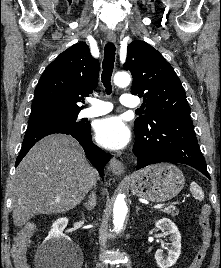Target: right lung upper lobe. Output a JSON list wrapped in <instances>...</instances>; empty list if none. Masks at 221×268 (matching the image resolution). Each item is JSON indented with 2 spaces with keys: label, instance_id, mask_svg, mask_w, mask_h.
<instances>
[{
  "label": "right lung upper lobe",
  "instance_id": "1",
  "mask_svg": "<svg viewBox=\"0 0 221 268\" xmlns=\"http://www.w3.org/2000/svg\"><path fill=\"white\" fill-rule=\"evenodd\" d=\"M100 64L85 42L62 52L47 66L34 92L30 117L79 113L78 105L97 87Z\"/></svg>",
  "mask_w": 221,
  "mask_h": 268
}]
</instances>
